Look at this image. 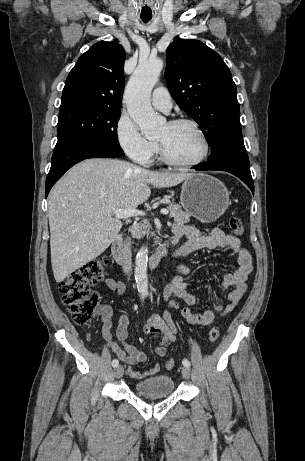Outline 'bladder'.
Instances as JSON below:
<instances>
[{"label": "bladder", "mask_w": 305, "mask_h": 461, "mask_svg": "<svg viewBox=\"0 0 305 461\" xmlns=\"http://www.w3.org/2000/svg\"><path fill=\"white\" fill-rule=\"evenodd\" d=\"M138 395L163 397L173 393L174 381L171 376L160 374L137 381L133 386Z\"/></svg>", "instance_id": "obj_1"}]
</instances>
